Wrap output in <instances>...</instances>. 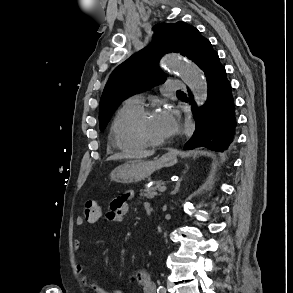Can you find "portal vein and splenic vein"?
Here are the masks:
<instances>
[{
	"instance_id": "portal-vein-and-splenic-vein-1",
	"label": "portal vein and splenic vein",
	"mask_w": 293,
	"mask_h": 293,
	"mask_svg": "<svg viewBox=\"0 0 293 293\" xmlns=\"http://www.w3.org/2000/svg\"><path fill=\"white\" fill-rule=\"evenodd\" d=\"M166 189H167L166 186H161V187L158 189V191H159V192H165Z\"/></svg>"
}]
</instances>
